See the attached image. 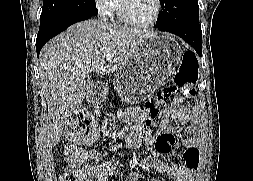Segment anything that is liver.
<instances>
[{
	"mask_svg": "<svg viewBox=\"0 0 253 181\" xmlns=\"http://www.w3.org/2000/svg\"><path fill=\"white\" fill-rule=\"evenodd\" d=\"M154 33L102 20L70 26L50 40L39 57L42 92L48 105L50 145L60 141L68 118L94 83L90 73H117L134 49ZM114 53L108 64L105 55Z\"/></svg>",
	"mask_w": 253,
	"mask_h": 181,
	"instance_id": "1",
	"label": "liver"
}]
</instances>
